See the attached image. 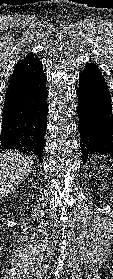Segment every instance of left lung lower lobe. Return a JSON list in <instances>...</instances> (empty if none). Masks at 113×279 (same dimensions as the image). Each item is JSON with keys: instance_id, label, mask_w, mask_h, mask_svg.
Segmentation results:
<instances>
[{"instance_id": "1", "label": "left lung lower lobe", "mask_w": 113, "mask_h": 279, "mask_svg": "<svg viewBox=\"0 0 113 279\" xmlns=\"http://www.w3.org/2000/svg\"><path fill=\"white\" fill-rule=\"evenodd\" d=\"M78 130L83 159L94 154L113 155V113L106 81L94 63L79 76Z\"/></svg>"}]
</instances>
